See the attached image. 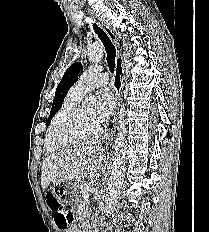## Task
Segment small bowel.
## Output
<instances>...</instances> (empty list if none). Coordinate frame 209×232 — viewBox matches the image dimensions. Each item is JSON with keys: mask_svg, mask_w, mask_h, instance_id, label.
<instances>
[{"mask_svg": "<svg viewBox=\"0 0 209 232\" xmlns=\"http://www.w3.org/2000/svg\"><path fill=\"white\" fill-rule=\"evenodd\" d=\"M85 215V211H84V209L82 208V207H80L78 210H77V212H76V214H75V217H77V218H81V217H83ZM59 227V226H58ZM60 228V227H59ZM61 229V228H60ZM61 230H63L64 232H81L80 230H79V228H77V227H74V226H68L67 228H65V229H61Z\"/></svg>", "mask_w": 209, "mask_h": 232, "instance_id": "obj_1", "label": "small bowel"}]
</instances>
